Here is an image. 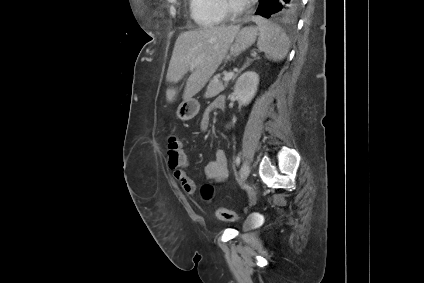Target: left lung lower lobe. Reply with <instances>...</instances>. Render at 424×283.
<instances>
[{"mask_svg":"<svg viewBox=\"0 0 424 283\" xmlns=\"http://www.w3.org/2000/svg\"><path fill=\"white\" fill-rule=\"evenodd\" d=\"M301 4V0H260L259 7L255 15L265 18L271 16H290L296 13Z\"/></svg>","mask_w":424,"mask_h":283,"instance_id":"1","label":"left lung lower lobe"}]
</instances>
